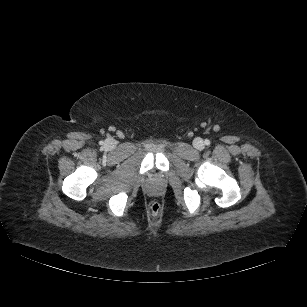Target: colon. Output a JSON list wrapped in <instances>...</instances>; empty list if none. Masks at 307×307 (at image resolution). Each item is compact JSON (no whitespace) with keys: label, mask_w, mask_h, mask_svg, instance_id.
Segmentation results:
<instances>
[{"label":"colon","mask_w":307,"mask_h":307,"mask_svg":"<svg viewBox=\"0 0 307 307\" xmlns=\"http://www.w3.org/2000/svg\"><path fill=\"white\" fill-rule=\"evenodd\" d=\"M149 208L152 213H158L160 210V204L158 202H151Z\"/></svg>","instance_id":"1"}]
</instances>
